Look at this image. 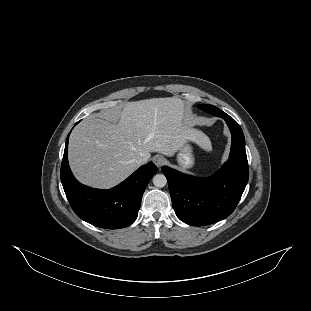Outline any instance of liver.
I'll use <instances>...</instances> for the list:
<instances>
[{
  "label": "liver",
  "mask_w": 311,
  "mask_h": 311,
  "mask_svg": "<svg viewBox=\"0 0 311 311\" xmlns=\"http://www.w3.org/2000/svg\"><path fill=\"white\" fill-rule=\"evenodd\" d=\"M180 98H151L128 102L114 123L88 117L76 126L69 140V165L83 184L109 189L124 181L137 168L133 160L152 152L173 156L187 142L209 148V137L194 128L184 115Z\"/></svg>",
  "instance_id": "6515ba94"
}]
</instances>
